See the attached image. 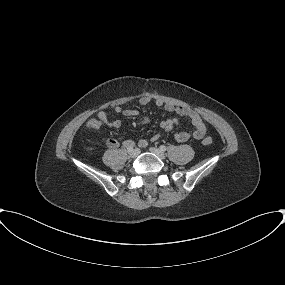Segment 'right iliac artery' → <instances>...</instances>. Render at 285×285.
Listing matches in <instances>:
<instances>
[{"mask_svg": "<svg viewBox=\"0 0 285 285\" xmlns=\"http://www.w3.org/2000/svg\"><path fill=\"white\" fill-rule=\"evenodd\" d=\"M126 148H127L128 152L133 150V146L132 145H127Z\"/></svg>", "mask_w": 285, "mask_h": 285, "instance_id": "1", "label": "right iliac artery"}]
</instances>
